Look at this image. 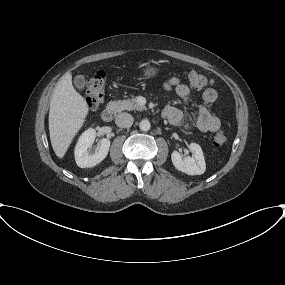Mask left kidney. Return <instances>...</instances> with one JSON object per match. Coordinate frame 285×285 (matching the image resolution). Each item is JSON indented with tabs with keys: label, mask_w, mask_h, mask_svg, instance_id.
Wrapping results in <instances>:
<instances>
[{
	"label": "left kidney",
	"mask_w": 285,
	"mask_h": 285,
	"mask_svg": "<svg viewBox=\"0 0 285 285\" xmlns=\"http://www.w3.org/2000/svg\"><path fill=\"white\" fill-rule=\"evenodd\" d=\"M189 149L193 153L192 157L182 158L181 155L174 151L171 154V160L176 169L188 175H201L206 170V163L203 151L199 144L190 143Z\"/></svg>",
	"instance_id": "obj_1"
}]
</instances>
